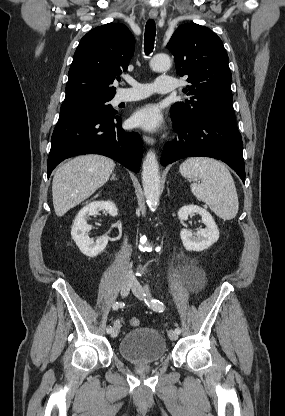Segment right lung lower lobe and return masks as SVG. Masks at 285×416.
Instances as JSON below:
<instances>
[{"label":"right lung lower lobe","instance_id":"1","mask_svg":"<svg viewBox=\"0 0 285 416\" xmlns=\"http://www.w3.org/2000/svg\"><path fill=\"white\" fill-rule=\"evenodd\" d=\"M81 154L110 157L137 173L143 147L137 133L126 132L121 128V117L117 115L59 118L51 139L48 178L60 162Z\"/></svg>","mask_w":285,"mask_h":416}]
</instances>
